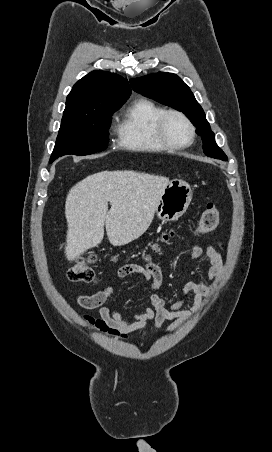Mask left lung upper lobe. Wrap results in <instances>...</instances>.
Returning <instances> with one entry per match:
<instances>
[{
  "label": "left lung upper lobe",
  "mask_w": 272,
  "mask_h": 452,
  "mask_svg": "<svg viewBox=\"0 0 272 452\" xmlns=\"http://www.w3.org/2000/svg\"><path fill=\"white\" fill-rule=\"evenodd\" d=\"M130 84L136 92L186 114L197 127L196 132L203 140L205 155L223 161L228 160L215 142V135L209 129L210 125L202 107L196 101L190 88L177 75L159 72L130 79Z\"/></svg>",
  "instance_id": "obj_1"
}]
</instances>
